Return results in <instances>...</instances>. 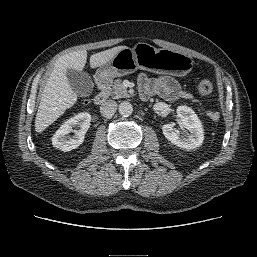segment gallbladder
I'll use <instances>...</instances> for the list:
<instances>
[{
	"label": "gallbladder",
	"mask_w": 257,
	"mask_h": 257,
	"mask_svg": "<svg viewBox=\"0 0 257 257\" xmlns=\"http://www.w3.org/2000/svg\"><path fill=\"white\" fill-rule=\"evenodd\" d=\"M66 75L71 88L78 96L86 97L90 95L93 90V81L88 73L68 69Z\"/></svg>",
	"instance_id": "bac80fb5"
}]
</instances>
